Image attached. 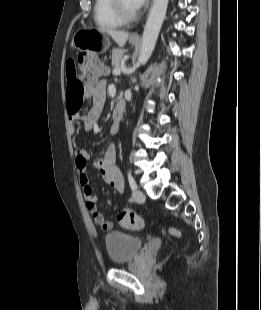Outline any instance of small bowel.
Here are the masks:
<instances>
[{"instance_id": "c3829d8e", "label": "small bowel", "mask_w": 261, "mask_h": 310, "mask_svg": "<svg viewBox=\"0 0 261 310\" xmlns=\"http://www.w3.org/2000/svg\"><path fill=\"white\" fill-rule=\"evenodd\" d=\"M67 104L70 114L71 132H75L74 123L83 120L87 130H92L97 126L101 110L105 100V82L101 81L96 84L81 85L75 77V69L72 61L67 66ZM89 97L92 99L90 108L84 114L79 113L82 104V98ZM117 125L111 129L116 133ZM91 159V154L85 149H78L75 153V164L79 174V182L82 187L83 195L86 201L88 211L93 216L95 222L101 225L105 230L113 227V222L105 219L97 207V196L93 193L87 164ZM93 166L100 171L105 182L117 193L124 189V179L121 171L116 166V148L113 142H109L102 155L94 160ZM110 202L109 199H107Z\"/></svg>"}]
</instances>
